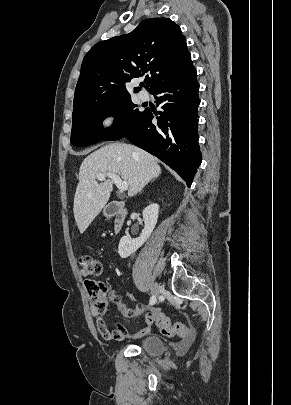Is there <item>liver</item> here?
Instances as JSON below:
<instances>
[{
	"label": "liver",
	"mask_w": 291,
	"mask_h": 405,
	"mask_svg": "<svg viewBox=\"0 0 291 405\" xmlns=\"http://www.w3.org/2000/svg\"><path fill=\"white\" fill-rule=\"evenodd\" d=\"M99 173L121 176L129 184L128 196L133 197L160 175L161 168L154 156L130 144L111 143L88 155L80 166L74 196L73 212L80 233L105 207L113 190L111 179L100 184L96 181Z\"/></svg>",
	"instance_id": "1"
}]
</instances>
